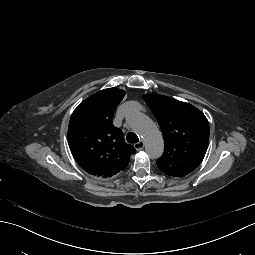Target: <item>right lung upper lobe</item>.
Segmentation results:
<instances>
[{"instance_id":"obj_1","label":"right lung upper lobe","mask_w":255,"mask_h":255,"mask_svg":"<svg viewBox=\"0 0 255 255\" xmlns=\"http://www.w3.org/2000/svg\"><path fill=\"white\" fill-rule=\"evenodd\" d=\"M123 90L108 88L84 100L73 112L68 127V144L73 157L87 173L109 178L123 171L135 152L123 133L113 125Z\"/></svg>"}]
</instances>
